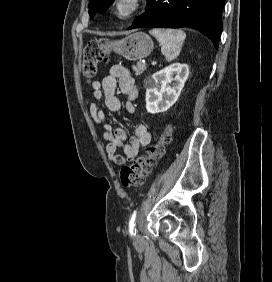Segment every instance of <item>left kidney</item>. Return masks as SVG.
<instances>
[{
	"mask_svg": "<svg viewBox=\"0 0 272 282\" xmlns=\"http://www.w3.org/2000/svg\"><path fill=\"white\" fill-rule=\"evenodd\" d=\"M189 76L187 64L174 63L144 81L146 109L151 114L167 111L178 100Z\"/></svg>",
	"mask_w": 272,
	"mask_h": 282,
	"instance_id": "left-kidney-1",
	"label": "left kidney"
}]
</instances>
